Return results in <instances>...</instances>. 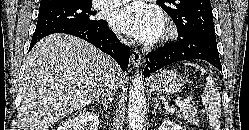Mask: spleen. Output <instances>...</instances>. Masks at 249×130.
I'll return each mask as SVG.
<instances>
[{
	"label": "spleen",
	"instance_id": "spleen-1",
	"mask_svg": "<svg viewBox=\"0 0 249 130\" xmlns=\"http://www.w3.org/2000/svg\"><path fill=\"white\" fill-rule=\"evenodd\" d=\"M185 65H190L197 69H200L202 74H205V70L196 64L185 63ZM201 98L205 107V112L209 119L210 126L215 128L216 130H219V118L221 116V97L211 77H207L206 79V84Z\"/></svg>",
	"mask_w": 249,
	"mask_h": 130
}]
</instances>
